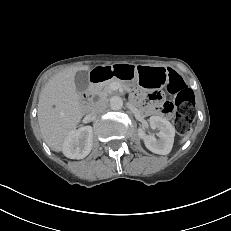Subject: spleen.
<instances>
[{"mask_svg": "<svg viewBox=\"0 0 231 231\" xmlns=\"http://www.w3.org/2000/svg\"><path fill=\"white\" fill-rule=\"evenodd\" d=\"M190 134H191V132L188 133V134L182 139L181 143H184L187 139H189Z\"/></svg>", "mask_w": 231, "mask_h": 231, "instance_id": "obj_1", "label": "spleen"}]
</instances>
